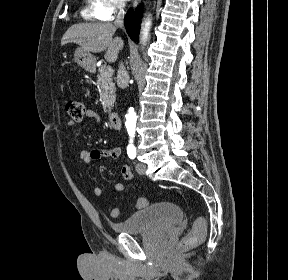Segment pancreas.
<instances>
[{
	"instance_id": "obj_1",
	"label": "pancreas",
	"mask_w": 288,
	"mask_h": 280,
	"mask_svg": "<svg viewBox=\"0 0 288 280\" xmlns=\"http://www.w3.org/2000/svg\"><path fill=\"white\" fill-rule=\"evenodd\" d=\"M106 65H102L98 69L97 84L99 87L100 101L102 102L105 113H110L115 102V83L112 75L106 73Z\"/></svg>"
}]
</instances>
